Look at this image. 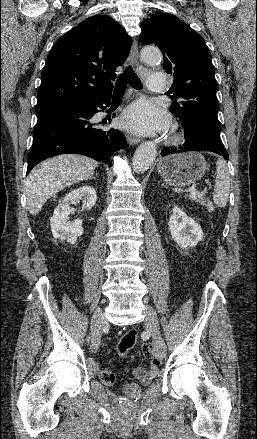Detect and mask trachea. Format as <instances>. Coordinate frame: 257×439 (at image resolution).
<instances>
[{
	"label": "trachea",
	"instance_id": "3493384b",
	"mask_svg": "<svg viewBox=\"0 0 257 439\" xmlns=\"http://www.w3.org/2000/svg\"><path fill=\"white\" fill-rule=\"evenodd\" d=\"M127 83H129L133 88L138 90H141L143 88L142 82L138 78L137 74L134 72L132 66L126 67L123 73L118 77L115 83L113 95H124Z\"/></svg>",
	"mask_w": 257,
	"mask_h": 439
}]
</instances>
